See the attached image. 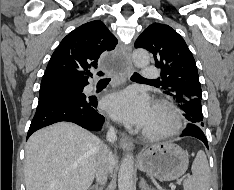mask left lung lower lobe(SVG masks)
Here are the masks:
<instances>
[{"instance_id":"0a47b994","label":"left lung lower lobe","mask_w":234,"mask_h":190,"mask_svg":"<svg viewBox=\"0 0 234 190\" xmlns=\"http://www.w3.org/2000/svg\"><path fill=\"white\" fill-rule=\"evenodd\" d=\"M181 136L195 137L201 140L208 148L207 139L203 133L202 126L189 122Z\"/></svg>"}]
</instances>
